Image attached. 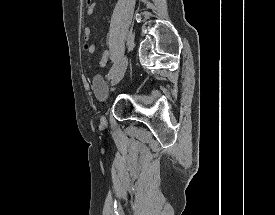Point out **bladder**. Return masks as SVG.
I'll return each mask as SVG.
<instances>
[{"label":"bladder","mask_w":275,"mask_h":215,"mask_svg":"<svg viewBox=\"0 0 275 215\" xmlns=\"http://www.w3.org/2000/svg\"><path fill=\"white\" fill-rule=\"evenodd\" d=\"M93 88L96 93V97L100 102H106L110 96L108 93V83L105 76L96 74L93 78Z\"/></svg>","instance_id":"bladder-1"}]
</instances>
